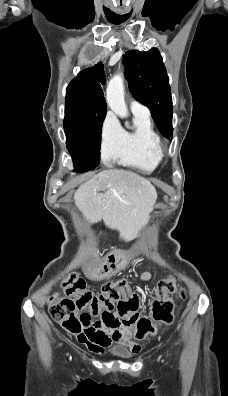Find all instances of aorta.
Returning a JSON list of instances; mask_svg holds the SVG:
<instances>
[{"mask_svg": "<svg viewBox=\"0 0 228 396\" xmlns=\"http://www.w3.org/2000/svg\"><path fill=\"white\" fill-rule=\"evenodd\" d=\"M106 101L110 109L119 117L125 118L128 115L127 106L124 99L123 75H115L108 83L106 90Z\"/></svg>", "mask_w": 228, "mask_h": 396, "instance_id": "aorta-1", "label": "aorta"}]
</instances>
